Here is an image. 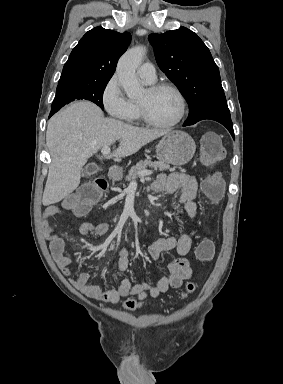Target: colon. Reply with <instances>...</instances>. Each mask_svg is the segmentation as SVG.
Listing matches in <instances>:
<instances>
[{
  "mask_svg": "<svg viewBox=\"0 0 283 384\" xmlns=\"http://www.w3.org/2000/svg\"><path fill=\"white\" fill-rule=\"evenodd\" d=\"M200 157L204 164L213 165L221 161L224 157V149L219 134L207 132L201 140ZM107 189L106 181L96 179L83 184L76 192L64 201L65 207L77 214L86 213L95 203L104 195ZM201 190L208 200L218 202L224 194L225 185L222 177L217 174H211L204 177L201 181ZM215 245L209 240H202L197 249L196 256L201 261H209L214 257ZM196 290V285L190 282L186 285L185 292L181 298L186 299ZM140 303L134 299L124 302V307L128 310H135Z\"/></svg>",
  "mask_w": 283,
  "mask_h": 384,
  "instance_id": "5ec220e1",
  "label": "colon"
}]
</instances>
